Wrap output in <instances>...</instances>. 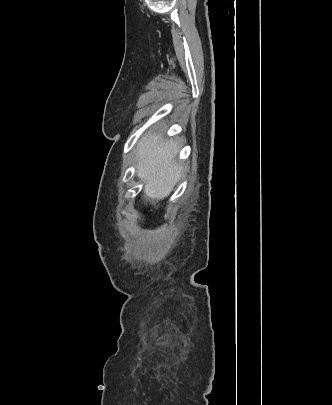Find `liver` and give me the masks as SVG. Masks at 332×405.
Segmentation results:
<instances>
[{"instance_id": "6515ba94", "label": "liver", "mask_w": 332, "mask_h": 405, "mask_svg": "<svg viewBox=\"0 0 332 405\" xmlns=\"http://www.w3.org/2000/svg\"><path fill=\"white\" fill-rule=\"evenodd\" d=\"M178 150V140H168L151 130L139 140L137 176L145 182L144 193L149 198H167L180 180L183 166L176 160Z\"/></svg>"}]
</instances>
